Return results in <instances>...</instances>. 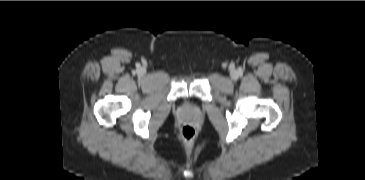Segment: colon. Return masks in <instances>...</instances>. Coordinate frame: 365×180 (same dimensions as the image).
Returning a JSON list of instances; mask_svg holds the SVG:
<instances>
[{
    "instance_id": "colon-1",
    "label": "colon",
    "mask_w": 365,
    "mask_h": 180,
    "mask_svg": "<svg viewBox=\"0 0 365 180\" xmlns=\"http://www.w3.org/2000/svg\"><path fill=\"white\" fill-rule=\"evenodd\" d=\"M181 136L186 142H191L195 137V130L192 125L185 124L181 129Z\"/></svg>"
}]
</instances>
